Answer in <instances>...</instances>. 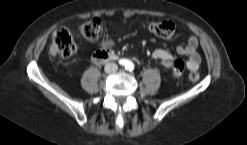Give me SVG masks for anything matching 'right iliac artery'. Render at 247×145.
I'll return each instance as SVG.
<instances>
[{
	"label": "right iliac artery",
	"mask_w": 247,
	"mask_h": 145,
	"mask_svg": "<svg viewBox=\"0 0 247 145\" xmlns=\"http://www.w3.org/2000/svg\"><path fill=\"white\" fill-rule=\"evenodd\" d=\"M119 64H120V65H126V64H127V60L121 59V60L119 61Z\"/></svg>",
	"instance_id": "right-iliac-artery-1"
}]
</instances>
